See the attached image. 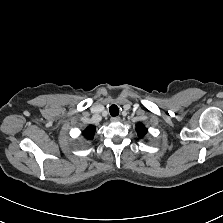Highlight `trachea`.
Here are the masks:
<instances>
[{
    "instance_id": "1",
    "label": "trachea",
    "mask_w": 223,
    "mask_h": 223,
    "mask_svg": "<svg viewBox=\"0 0 223 223\" xmlns=\"http://www.w3.org/2000/svg\"><path fill=\"white\" fill-rule=\"evenodd\" d=\"M109 111L112 116H117L119 114V108L117 105H111Z\"/></svg>"
}]
</instances>
